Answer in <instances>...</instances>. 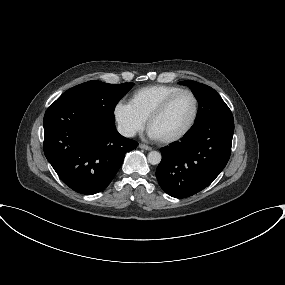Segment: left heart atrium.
Listing matches in <instances>:
<instances>
[{"label":"left heart atrium","instance_id":"1","mask_svg":"<svg viewBox=\"0 0 285 285\" xmlns=\"http://www.w3.org/2000/svg\"><path fill=\"white\" fill-rule=\"evenodd\" d=\"M149 137H150V138H153V139H156V138L153 136V134L150 133V132H149Z\"/></svg>","mask_w":285,"mask_h":285}]
</instances>
